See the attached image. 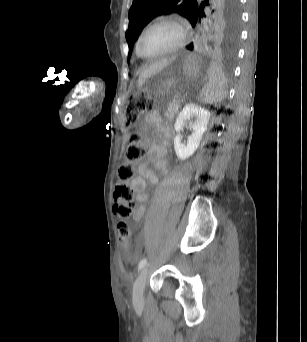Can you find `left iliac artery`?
<instances>
[{
	"mask_svg": "<svg viewBox=\"0 0 307 342\" xmlns=\"http://www.w3.org/2000/svg\"><path fill=\"white\" fill-rule=\"evenodd\" d=\"M147 264V259L144 258L139 262L138 269H142Z\"/></svg>",
	"mask_w": 307,
	"mask_h": 342,
	"instance_id": "obj_1",
	"label": "left iliac artery"
}]
</instances>
